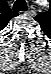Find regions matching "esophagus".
<instances>
[{"instance_id":"1","label":"esophagus","mask_w":51,"mask_h":74,"mask_svg":"<svg viewBox=\"0 0 51 74\" xmlns=\"http://www.w3.org/2000/svg\"><path fill=\"white\" fill-rule=\"evenodd\" d=\"M27 14H31V11H30V10H28V11H27Z\"/></svg>"}]
</instances>
